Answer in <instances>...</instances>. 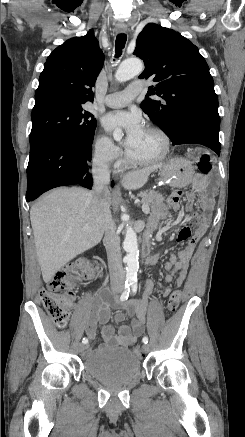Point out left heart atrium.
<instances>
[{
	"mask_svg": "<svg viewBox=\"0 0 245 437\" xmlns=\"http://www.w3.org/2000/svg\"><path fill=\"white\" fill-rule=\"evenodd\" d=\"M103 125L108 132H124L122 144L128 151L134 148L144 132L140 116L125 111L108 114L103 120Z\"/></svg>",
	"mask_w": 245,
	"mask_h": 437,
	"instance_id": "1",
	"label": "left heart atrium"
}]
</instances>
